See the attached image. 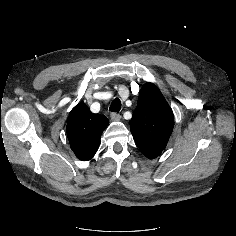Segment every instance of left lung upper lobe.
Wrapping results in <instances>:
<instances>
[{"label": "left lung upper lobe", "instance_id": "left-lung-upper-lobe-1", "mask_svg": "<svg viewBox=\"0 0 236 236\" xmlns=\"http://www.w3.org/2000/svg\"><path fill=\"white\" fill-rule=\"evenodd\" d=\"M173 112L160 90L146 83L130 121V130L140 151L149 159L165 149L173 131Z\"/></svg>", "mask_w": 236, "mask_h": 236}]
</instances>
